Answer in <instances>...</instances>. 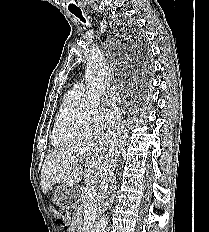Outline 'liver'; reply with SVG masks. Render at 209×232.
I'll use <instances>...</instances> for the list:
<instances>
[{
  "mask_svg": "<svg viewBox=\"0 0 209 232\" xmlns=\"http://www.w3.org/2000/svg\"><path fill=\"white\" fill-rule=\"evenodd\" d=\"M117 149L116 140L109 143L104 137H98L53 151L46 157L42 166L43 193L46 194L56 183L74 185L81 181L82 177L85 183H100L107 165L112 161L116 162Z\"/></svg>",
  "mask_w": 209,
  "mask_h": 232,
  "instance_id": "1",
  "label": "liver"
}]
</instances>
